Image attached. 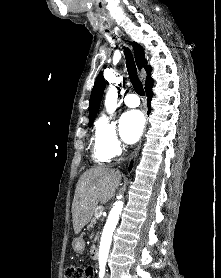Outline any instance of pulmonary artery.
I'll use <instances>...</instances> for the list:
<instances>
[{
  "instance_id": "obj_1",
  "label": "pulmonary artery",
  "mask_w": 221,
  "mask_h": 278,
  "mask_svg": "<svg viewBox=\"0 0 221 278\" xmlns=\"http://www.w3.org/2000/svg\"><path fill=\"white\" fill-rule=\"evenodd\" d=\"M124 103L128 107L134 108L140 105V99L136 94L130 93L124 98Z\"/></svg>"
}]
</instances>
